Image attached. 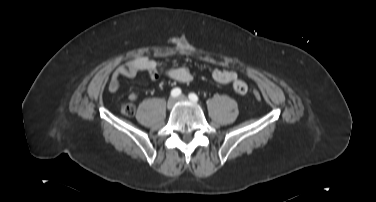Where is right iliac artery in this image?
Segmentation results:
<instances>
[{
	"label": "right iliac artery",
	"instance_id": "right-iliac-artery-1",
	"mask_svg": "<svg viewBox=\"0 0 376 202\" xmlns=\"http://www.w3.org/2000/svg\"><path fill=\"white\" fill-rule=\"evenodd\" d=\"M179 95H181V89L180 88H174L172 91H171V96L172 97H178Z\"/></svg>",
	"mask_w": 376,
	"mask_h": 202
}]
</instances>
